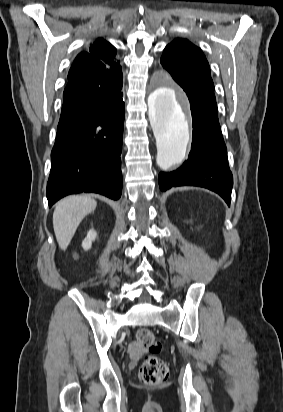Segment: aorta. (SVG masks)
Wrapping results in <instances>:
<instances>
[{
	"label": "aorta",
	"instance_id": "762f6f07",
	"mask_svg": "<svg viewBox=\"0 0 283 412\" xmlns=\"http://www.w3.org/2000/svg\"><path fill=\"white\" fill-rule=\"evenodd\" d=\"M185 97L174 87L158 84L148 97V112L156 138L157 164L168 169L183 161L189 142V112Z\"/></svg>",
	"mask_w": 283,
	"mask_h": 412
}]
</instances>
